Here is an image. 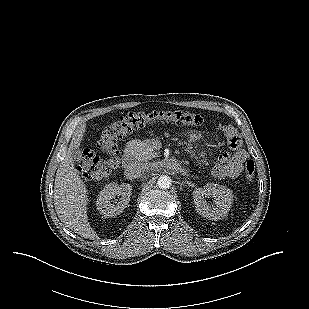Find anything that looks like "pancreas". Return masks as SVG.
Wrapping results in <instances>:
<instances>
[{"mask_svg":"<svg viewBox=\"0 0 309 309\" xmlns=\"http://www.w3.org/2000/svg\"><path fill=\"white\" fill-rule=\"evenodd\" d=\"M134 146V157L136 161L147 162L155 157V152L151 143L135 141Z\"/></svg>","mask_w":309,"mask_h":309,"instance_id":"cf45deb5","label":"pancreas"}]
</instances>
